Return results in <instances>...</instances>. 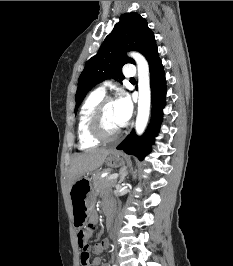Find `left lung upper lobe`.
I'll return each instance as SVG.
<instances>
[{
    "label": "left lung upper lobe",
    "mask_w": 233,
    "mask_h": 266,
    "mask_svg": "<svg viewBox=\"0 0 233 266\" xmlns=\"http://www.w3.org/2000/svg\"><path fill=\"white\" fill-rule=\"evenodd\" d=\"M156 47L154 33L144 18L138 13L120 16L112 32L105 38L98 53L90 58L78 80L75 113L86 94L99 82L113 77L122 79L121 69L126 63L135 61L126 52L137 50L145 57Z\"/></svg>",
    "instance_id": "obj_1"
}]
</instances>
